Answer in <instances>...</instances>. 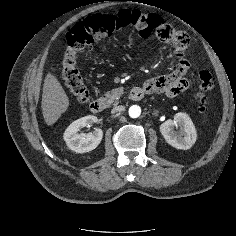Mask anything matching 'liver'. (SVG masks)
Here are the masks:
<instances>
[{"instance_id": "obj_1", "label": "liver", "mask_w": 236, "mask_h": 236, "mask_svg": "<svg viewBox=\"0 0 236 236\" xmlns=\"http://www.w3.org/2000/svg\"><path fill=\"white\" fill-rule=\"evenodd\" d=\"M41 107L47 125H53L69 107L67 94L50 72L44 80Z\"/></svg>"}]
</instances>
